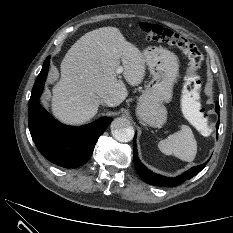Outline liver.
<instances>
[{"label":"liver","mask_w":233,"mask_h":233,"mask_svg":"<svg viewBox=\"0 0 233 233\" xmlns=\"http://www.w3.org/2000/svg\"><path fill=\"white\" fill-rule=\"evenodd\" d=\"M122 61L123 76L131 86L141 84L145 76V58L116 27H103L84 34L66 53L61 78L52 93L53 115L63 123L77 125L89 121L98 112L102 97L120 105L128 95L116 69Z\"/></svg>","instance_id":"1"}]
</instances>
